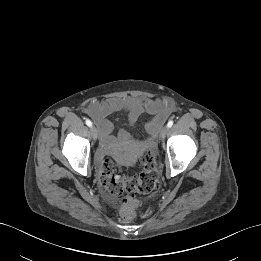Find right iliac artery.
Listing matches in <instances>:
<instances>
[{
	"label": "right iliac artery",
	"instance_id": "obj_1",
	"mask_svg": "<svg viewBox=\"0 0 261 261\" xmlns=\"http://www.w3.org/2000/svg\"><path fill=\"white\" fill-rule=\"evenodd\" d=\"M85 122H86V125H87V126H89V127H91V126H92V122H91L89 119H86V121H85Z\"/></svg>",
	"mask_w": 261,
	"mask_h": 261
}]
</instances>
